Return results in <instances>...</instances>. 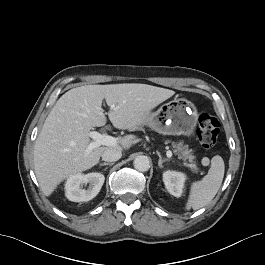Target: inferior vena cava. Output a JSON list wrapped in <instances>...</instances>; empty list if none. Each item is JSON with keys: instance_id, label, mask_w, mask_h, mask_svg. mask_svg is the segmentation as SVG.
<instances>
[{"instance_id": "602c4592", "label": "inferior vena cava", "mask_w": 265, "mask_h": 265, "mask_svg": "<svg viewBox=\"0 0 265 265\" xmlns=\"http://www.w3.org/2000/svg\"><path fill=\"white\" fill-rule=\"evenodd\" d=\"M122 156V152L116 149H107L102 153V160L107 162H115Z\"/></svg>"}]
</instances>
